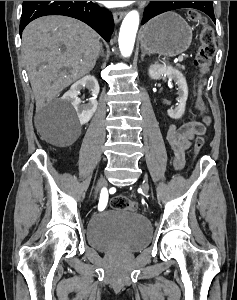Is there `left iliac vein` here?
Segmentation results:
<instances>
[{
	"mask_svg": "<svg viewBox=\"0 0 237 300\" xmlns=\"http://www.w3.org/2000/svg\"><path fill=\"white\" fill-rule=\"evenodd\" d=\"M142 187L144 190L148 191L149 190L148 182H144Z\"/></svg>",
	"mask_w": 237,
	"mask_h": 300,
	"instance_id": "4c4485c4",
	"label": "left iliac vein"
}]
</instances>
